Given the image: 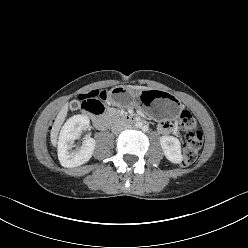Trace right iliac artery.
<instances>
[{"label":"right iliac artery","instance_id":"obj_1","mask_svg":"<svg viewBox=\"0 0 248 248\" xmlns=\"http://www.w3.org/2000/svg\"><path fill=\"white\" fill-rule=\"evenodd\" d=\"M137 127H141V125L139 124V125H137Z\"/></svg>","mask_w":248,"mask_h":248}]
</instances>
